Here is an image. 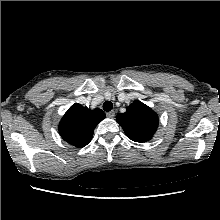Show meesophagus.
Here are the masks:
<instances>
[{
	"mask_svg": "<svg viewBox=\"0 0 220 220\" xmlns=\"http://www.w3.org/2000/svg\"><path fill=\"white\" fill-rule=\"evenodd\" d=\"M106 116L108 117V118H113L114 116H115V112L112 110V111H109V112H107L106 113Z\"/></svg>",
	"mask_w": 220,
	"mask_h": 220,
	"instance_id": "1",
	"label": "esophagus"
}]
</instances>
